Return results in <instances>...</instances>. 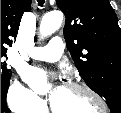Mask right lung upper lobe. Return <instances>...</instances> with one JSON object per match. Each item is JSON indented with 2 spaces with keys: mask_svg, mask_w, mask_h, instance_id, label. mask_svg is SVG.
<instances>
[{
  "mask_svg": "<svg viewBox=\"0 0 121 113\" xmlns=\"http://www.w3.org/2000/svg\"><path fill=\"white\" fill-rule=\"evenodd\" d=\"M31 0H1V52L16 39L23 12H29Z\"/></svg>",
  "mask_w": 121,
  "mask_h": 113,
  "instance_id": "right-lung-upper-lobe-1",
  "label": "right lung upper lobe"
}]
</instances>
